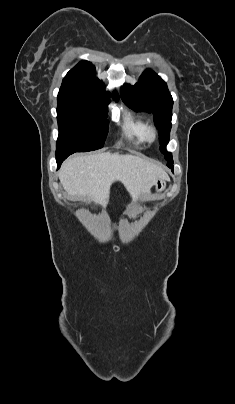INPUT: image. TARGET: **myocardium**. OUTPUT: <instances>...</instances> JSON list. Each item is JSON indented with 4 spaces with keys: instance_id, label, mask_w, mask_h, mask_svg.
I'll list each match as a JSON object with an SVG mask.
<instances>
[{
    "instance_id": "1",
    "label": "myocardium",
    "mask_w": 235,
    "mask_h": 404,
    "mask_svg": "<svg viewBox=\"0 0 235 404\" xmlns=\"http://www.w3.org/2000/svg\"><path fill=\"white\" fill-rule=\"evenodd\" d=\"M157 139V130L154 126H148L145 132V141L154 143Z\"/></svg>"
}]
</instances>
